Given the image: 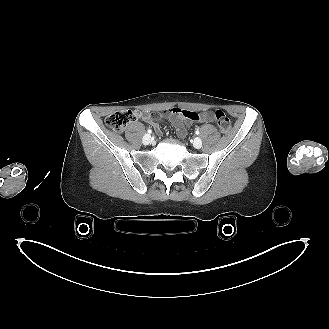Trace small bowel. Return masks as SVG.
Instances as JSON below:
<instances>
[{"label": "small bowel", "instance_id": "c3829d8e", "mask_svg": "<svg viewBox=\"0 0 329 329\" xmlns=\"http://www.w3.org/2000/svg\"><path fill=\"white\" fill-rule=\"evenodd\" d=\"M137 116L152 124L157 134H161L160 127L154 122L150 113H138ZM160 117L167 118L175 127L177 134L181 137L186 135L187 128H189L193 123H206L212 121V117L209 112L195 113L181 108H172L164 111L160 114Z\"/></svg>", "mask_w": 329, "mask_h": 329}]
</instances>
